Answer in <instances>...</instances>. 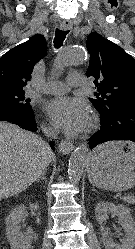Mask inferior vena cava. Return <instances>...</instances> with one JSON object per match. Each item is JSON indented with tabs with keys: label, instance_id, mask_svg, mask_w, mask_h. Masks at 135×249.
I'll use <instances>...</instances> for the list:
<instances>
[{
	"label": "inferior vena cava",
	"instance_id": "1",
	"mask_svg": "<svg viewBox=\"0 0 135 249\" xmlns=\"http://www.w3.org/2000/svg\"><path fill=\"white\" fill-rule=\"evenodd\" d=\"M43 132L44 134L47 136V138H56L57 137V134L58 132L56 130H53V129H49V128H43Z\"/></svg>",
	"mask_w": 135,
	"mask_h": 249
}]
</instances>
